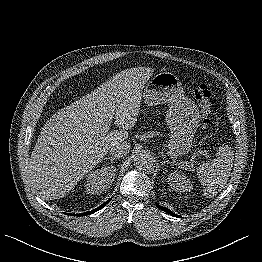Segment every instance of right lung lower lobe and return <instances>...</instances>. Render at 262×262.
Segmentation results:
<instances>
[{
    "label": "right lung lower lobe",
    "instance_id": "right-lung-lower-lobe-1",
    "mask_svg": "<svg viewBox=\"0 0 262 262\" xmlns=\"http://www.w3.org/2000/svg\"><path fill=\"white\" fill-rule=\"evenodd\" d=\"M111 200V198L109 200H107L104 204H102L101 206L97 207L96 209L92 210V211H89V212H86V213H81V214H70V215H73V216H87V215H90L98 210H100L101 208H103L107 203H109Z\"/></svg>",
    "mask_w": 262,
    "mask_h": 262
}]
</instances>
